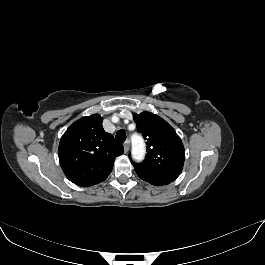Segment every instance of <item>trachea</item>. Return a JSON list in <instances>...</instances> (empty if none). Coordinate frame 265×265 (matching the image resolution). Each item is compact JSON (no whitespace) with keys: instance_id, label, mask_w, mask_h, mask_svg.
Returning <instances> with one entry per match:
<instances>
[{"instance_id":"1","label":"trachea","mask_w":265,"mask_h":265,"mask_svg":"<svg viewBox=\"0 0 265 265\" xmlns=\"http://www.w3.org/2000/svg\"><path fill=\"white\" fill-rule=\"evenodd\" d=\"M116 140L120 143H123L125 142L126 140V133L124 130H119L117 133H116Z\"/></svg>"}]
</instances>
